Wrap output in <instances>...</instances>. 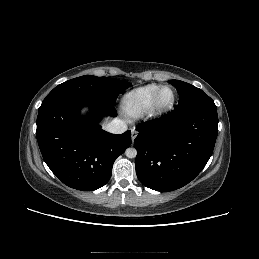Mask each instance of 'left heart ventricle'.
Listing matches in <instances>:
<instances>
[{
	"mask_svg": "<svg viewBox=\"0 0 259 259\" xmlns=\"http://www.w3.org/2000/svg\"><path fill=\"white\" fill-rule=\"evenodd\" d=\"M171 97H172V93L170 90H164L161 95H160V98H159V102L161 105H164V104H167L170 100H171Z\"/></svg>",
	"mask_w": 259,
	"mask_h": 259,
	"instance_id": "obj_1",
	"label": "left heart ventricle"
}]
</instances>
